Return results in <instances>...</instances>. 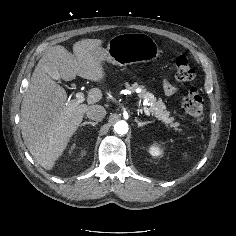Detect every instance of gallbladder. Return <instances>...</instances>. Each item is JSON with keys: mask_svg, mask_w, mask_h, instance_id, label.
I'll use <instances>...</instances> for the list:
<instances>
[{"mask_svg": "<svg viewBox=\"0 0 236 236\" xmlns=\"http://www.w3.org/2000/svg\"><path fill=\"white\" fill-rule=\"evenodd\" d=\"M49 74H50L51 78H53V79H56V80L60 79L59 72L55 68H52L51 70H49Z\"/></svg>", "mask_w": 236, "mask_h": 236, "instance_id": "gallbladder-1", "label": "gallbladder"}]
</instances>
